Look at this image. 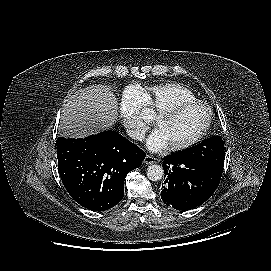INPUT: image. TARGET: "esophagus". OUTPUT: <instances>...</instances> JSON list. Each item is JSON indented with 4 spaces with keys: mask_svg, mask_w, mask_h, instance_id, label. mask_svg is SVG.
Wrapping results in <instances>:
<instances>
[{
    "mask_svg": "<svg viewBox=\"0 0 271 271\" xmlns=\"http://www.w3.org/2000/svg\"><path fill=\"white\" fill-rule=\"evenodd\" d=\"M144 163L149 164V165L156 164V163H159V159L154 158L150 155H146V157L144 158Z\"/></svg>",
    "mask_w": 271,
    "mask_h": 271,
    "instance_id": "1",
    "label": "esophagus"
}]
</instances>
